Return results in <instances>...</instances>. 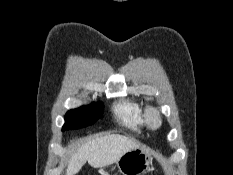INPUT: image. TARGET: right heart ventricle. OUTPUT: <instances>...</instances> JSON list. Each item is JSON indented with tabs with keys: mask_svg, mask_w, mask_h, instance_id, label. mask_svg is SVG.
Returning <instances> with one entry per match:
<instances>
[{
	"mask_svg": "<svg viewBox=\"0 0 233 175\" xmlns=\"http://www.w3.org/2000/svg\"><path fill=\"white\" fill-rule=\"evenodd\" d=\"M117 120L124 126L140 131L146 126L145 110L143 106L133 98H124L113 107Z\"/></svg>",
	"mask_w": 233,
	"mask_h": 175,
	"instance_id": "1",
	"label": "right heart ventricle"
}]
</instances>
